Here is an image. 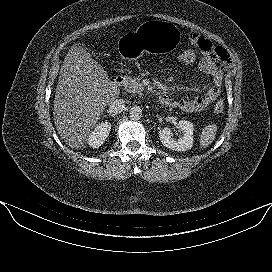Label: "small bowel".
<instances>
[{
    "instance_id": "c3829d8e",
    "label": "small bowel",
    "mask_w": 272,
    "mask_h": 272,
    "mask_svg": "<svg viewBox=\"0 0 272 272\" xmlns=\"http://www.w3.org/2000/svg\"><path fill=\"white\" fill-rule=\"evenodd\" d=\"M189 40L201 53L202 57L198 63L199 70L212 78L211 86L203 95L190 99H175L168 96L169 106L190 113L204 110L218 98L221 92L225 66L230 57L226 50L215 46L201 34L193 32L189 35Z\"/></svg>"
}]
</instances>
